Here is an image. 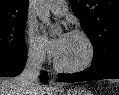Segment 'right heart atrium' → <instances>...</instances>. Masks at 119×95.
I'll list each match as a JSON object with an SVG mask.
<instances>
[{
	"label": "right heart atrium",
	"mask_w": 119,
	"mask_h": 95,
	"mask_svg": "<svg viewBox=\"0 0 119 95\" xmlns=\"http://www.w3.org/2000/svg\"><path fill=\"white\" fill-rule=\"evenodd\" d=\"M28 42V56L30 60L37 64L42 63L46 59L47 54L45 47L34 28H30L29 30Z\"/></svg>",
	"instance_id": "obj_1"
}]
</instances>
